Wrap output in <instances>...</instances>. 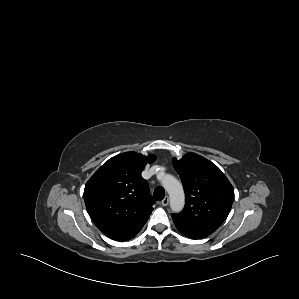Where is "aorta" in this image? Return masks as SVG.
<instances>
[{
	"instance_id": "1",
	"label": "aorta",
	"mask_w": 299,
	"mask_h": 299,
	"mask_svg": "<svg viewBox=\"0 0 299 299\" xmlns=\"http://www.w3.org/2000/svg\"><path fill=\"white\" fill-rule=\"evenodd\" d=\"M162 185L170 197V207L175 213L180 212L185 204V195L182 184L172 175L165 174Z\"/></svg>"
}]
</instances>
